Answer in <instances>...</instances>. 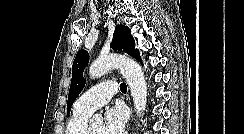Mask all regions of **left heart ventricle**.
Segmentation results:
<instances>
[{
    "label": "left heart ventricle",
    "mask_w": 244,
    "mask_h": 134,
    "mask_svg": "<svg viewBox=\"0 0 244 134\" xmlns=\"http://www.w3.org/2000/svg\"><path fill=\"white\" fill-rule=\"evenodd\" d=\"M103 125L102 124H96L91 126L92 134H103Z\"/></svg>",
    "instance_id": "obj_1"
}]
</instances>
